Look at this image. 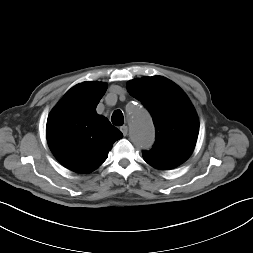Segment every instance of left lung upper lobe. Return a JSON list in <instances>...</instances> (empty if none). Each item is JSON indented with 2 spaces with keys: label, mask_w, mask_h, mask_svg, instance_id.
Wrapping results in <instances>:
<instances>
[{
  "label": "left lung upper lobe",
  "mask_w": 253,
  "mask_h": 253,
  "mask_svg": "<svg viewBox=\"0 0 253 253\" xmlns=\"http://www.w3.org/2000/svg\"><path fill=\"white\" fill-rule=\"evenodd\" d=\"M131 96L150 112L156 141L144 160L157 169L177 167L191 155L199 133V120L185 93L162 76L143 77L128 82Z\"/></svg>",
  "instance_id": "1"
}]
</instances>
